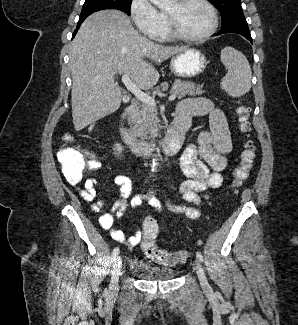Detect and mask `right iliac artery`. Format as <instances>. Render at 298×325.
I'll use <instances>...</instances> for the list:
<instances>
[{"label":"right iliac artery","mask_w":298,"mask_h":325,"mask_svg":"<svg viewBox=\"0 0 298 325\" xmlns=\"http://www.w3.org/2000/svg\"><path fill=\"white\" fill-rule=\"evenodd\" d=\"M118 254H119V247H116V248L113 250V252H112V256H111V259H112L113 262H115L116 257L118 256Z\"/></svg>","instance_id":"1"}]
</instances>
